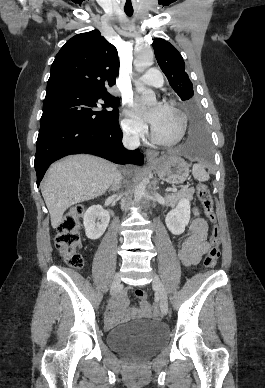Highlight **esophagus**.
<instances>
[{
	"mask_svg": "<svg viewBox=\"0 0 265 388\" xmlns=\"http://www.w3.org/2000/svg\"><path fill=\"white\" fill-rule=\"evenodd\" d=\"M159 156V151L158 150H147L146 151V158L148 162H152L155 160L156 157Z\"/></svg>",
	"mask_w": 265,
	"mask_h": 388,
	"instance_id": "1",
	"label": "esophagus"
}]
</instances>
